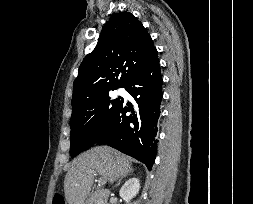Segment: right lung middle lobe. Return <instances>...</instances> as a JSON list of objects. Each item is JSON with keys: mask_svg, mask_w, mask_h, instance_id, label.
<instances>
[{"mask_svg": "<svg viewBox=\"0 0 253 204\" xmlns=\"http://www.w3.org/2000/svg\"><path fill=\"white\" fill-rule=\"evenodd\" d=\"M121 101L111 100L108 93L73 108L70 120V153L75 157L94 145L113 119Z\"/></svg>", "mask_w": 253, "mask_h": 204, "instance_id": "dd1d6c3e", "label": "right lung middle lobe"}]
</instances>
